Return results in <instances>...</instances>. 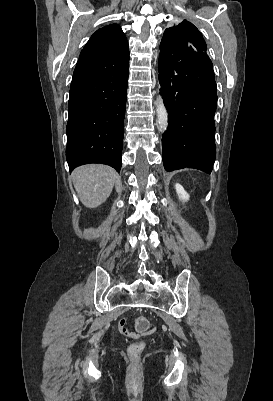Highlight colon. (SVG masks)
<instances>
[{
	"instance_id": "obj_1",
	"label": "colon",
	"mask_w": 273,
	"mask_h": 401,
	"mask_svg": "<svg viewBox=\"0 0 273 401\" xmlns=\"http://www.w3.org/2000/svg\"><path fill=\"white\" fill-rule=\"evenodd\" d=\"M136 325V333L138 334H144L149 330L146 319H138ZM145 346V339L130 340L127 349H124L123 351L124 358H133V363H136V358H141L142 353H145ZM129 372V380L138 381L140 379V369L136 365H133V367L129 369Z\"/></svg>"
}]
</instances>
